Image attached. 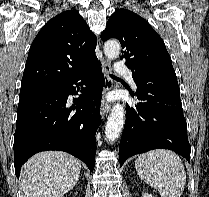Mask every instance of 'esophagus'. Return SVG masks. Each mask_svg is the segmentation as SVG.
Segmentation results:
<instances>
[{
	"label": "esophagus",
	"mask_w": 209,
	"mask_h": 197,
	"mask_svg": "<svg viewBox=\"0 0 209 197\" xmlns=\"http://www.w3.org/2000/svg\"><path fill=\"white\" fill-rule=\"evenodd\" d=\"M102 71L105 81L101 100L100 114L101 117L104 118L110 110V103L106 100V94L109 90L113 88V80L109 76V74L112 72V67L109 60H102Z\"/></svg>",
	"instance_id": "obj_1"
}]
</instances>
